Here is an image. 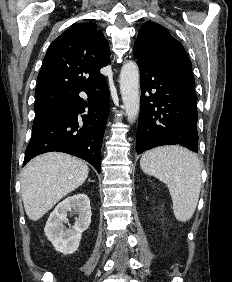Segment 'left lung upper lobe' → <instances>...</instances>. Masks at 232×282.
I'll return each mask as SVG.
<instances>
[{
	"instance_id": "1",
	"label": "left lung upper lobe",
	"mask_w": 232,
	"mask_h": 282,
	"mask_svg": "<svg viewBox=\"0 0 232 282\" xmlns=\"http://www.w3.org/2000/svg\"><path fill=\"white\" fill-rule=\"evenodd\" d=\"M133 54L138 61L147 63L181 60L191 64L182 44L168 29L153 22H146L139 30Z\"/></svg>"
}]
</instances>
